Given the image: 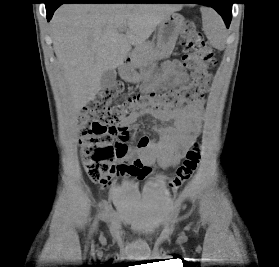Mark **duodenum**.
<instances>
[{
	"label": "duodenum",
	"instance_id": "410a0bca",
	"mask_svg": "<svg viewBox=\"0 0 279 267\" xmlns=\"http://www.w3.org/2000/svg\"><path fill=\"white\" fill-rule=\"evenodd\" d=\"M120 68L124 74H129L132 70V59L130 56H125L120 64Z\"/></svg>",
	"mask_w": 279,
	"mask_h": 267
}]
</instances>
